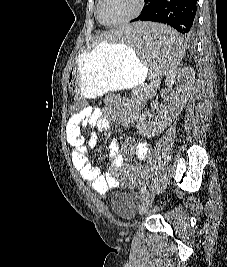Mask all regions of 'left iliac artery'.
<instances>
[{"label":"left iliac artery","instance_id":"obj_1","mask_svg":"<svg viewBox=\"0 0 227 267\" xmlns=\"http://www.w3.org/2000/svg\"><path fill=\"white\" fill-rule=\"evenodd\" d=\"M146 188H147L146 185H144V186L142 187V189H141V195H143V194L146 192Z\"/></svg>","mask_w":227,"mask_h":267}]
</instances>
